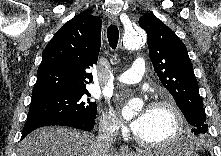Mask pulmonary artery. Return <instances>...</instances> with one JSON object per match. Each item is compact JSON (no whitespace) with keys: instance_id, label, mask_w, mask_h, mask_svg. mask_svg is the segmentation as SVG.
Listing matches in <instances>:
<instances>
[{"instance_id":"1","label":"pulmonary artery","mask_w":221,"mask_h":156,"mask_svg":"<svg viewBox=\"0 0 221 156\" xmlns=\"http://www.w3.org/2000/svg\"><path fill=\"white\" fill-rule=\"evenodd\" d=\"M145 73V62L142 58H138L133 62L132 67L118 75L115 80L125 84L138 83Z\"/></svg>"}]
</instances>
